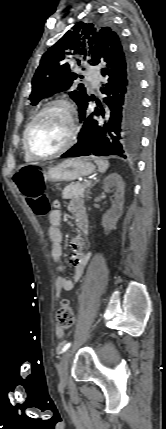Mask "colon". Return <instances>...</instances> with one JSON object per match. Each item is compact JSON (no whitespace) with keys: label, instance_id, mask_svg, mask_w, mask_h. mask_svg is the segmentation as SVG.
I'll return each mask as SVG.
<instances>
[{"label":"colon","instance_id":"obj_1","mask_svg":"<svg viewBox=\"0 0 166 429\" xmlns=\"http://www.w3.org/2000/svg\"><path fill=\"white\" fill-rule=\"evenodd\" d=\"M14 183L28 204L38 215L49 211L45 195L44 170L38 165H25L13 176ZM74 323V313L68 300H62L56 311L57 327L65 330Z\"/></svg>","mask_w":166,"mask_h":429}]
</instances>
